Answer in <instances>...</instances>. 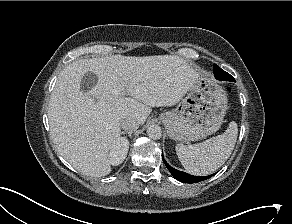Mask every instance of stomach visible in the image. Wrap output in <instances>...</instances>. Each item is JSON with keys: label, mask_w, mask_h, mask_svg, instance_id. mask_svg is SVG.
I'll list each match as a JSON object with an SVG mask.
<instances>
[{"label": "stomach", "mask_w": 292, "mask_h": 224, "mask_svg": "<svg viewBox=\"0 0 292 224\" xmlns=\"http://www.w3.org/2000/svg\"><path fill=\"white\" fill-rule=\"evenodd\" d=\"M227 103L223 88L212 77L200 74L177 107L160 118L171 139L196 141L221 127Z\"/></svg>", "instance_id": "obj_1"}]
</instances>
